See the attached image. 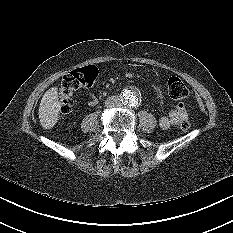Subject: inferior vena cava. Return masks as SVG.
I'll use <instances>...</instances> for the list:
<instances>
[{
  "label": "inferior vena cava",
  "instance_id": "1",
  "mask_svg": "<svg viewBox=\"0 0 233 233\" xmlns=\"http://www.w3.org/2000/svg\"><path fill=\"white\" fill-rule=\"evenodd\" d=\"M105 103L108 107H121L122 106L121 99L118 96L109 97Z\"/></svg>",
  "mask_w": 233,
  "mask_h": 233
}]
</instances>
